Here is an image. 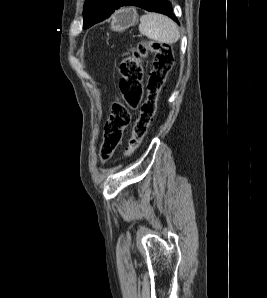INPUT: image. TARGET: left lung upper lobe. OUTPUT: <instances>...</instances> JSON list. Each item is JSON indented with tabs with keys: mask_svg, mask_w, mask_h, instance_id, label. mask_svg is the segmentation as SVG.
<instances>
[{
	"mask_svg": "<svg viewBox=\"0 0 267 298\" xmlns=\"http://www.w3.org/2000/svg\"><path fill=\"white\" fill-rule=\"evenodd\" d=\"M116 0H86L84 4V25L90 21L94 16L102 14L111 8Z\"/></svg>",
	"mask_w": 267,
	"mask_h": 298,
	"instance_id": "obj_1",
	"label": "left lung upper lobe"
}]
</instances>
